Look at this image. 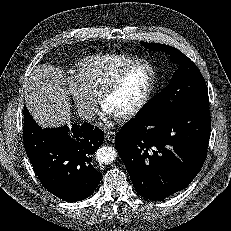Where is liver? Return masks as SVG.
I'll return each mask as SVG.
<instances>
[{"instance_id": "6515ba94", "label": "liver", "mask_w": 231, "mask_h": 231, "mask_svg": "<svg viewBox=\"0 0 231 231\" xmlns=\"http://www.w3.org/2000/svg\"><path fill=\"white\" fill-rule=\"evenodd\" d=\"M24 93L30 114L42 128L70 124V99L60 71L46 64L36 66Z\"/></svg>"}]
</instances>
